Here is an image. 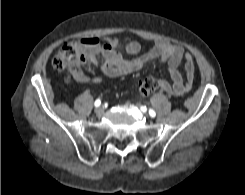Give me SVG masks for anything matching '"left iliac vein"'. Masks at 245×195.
I'll return each mask as SVG.
<instances>
[{
    "mask_svg": "<svg viewBox=\"0 0 245 195\" xmlns=\"http://www.w3.org/2000/svg\"><path fill=\"white\" fill-rule=\"evenodd\" d=\"M138 106V105H137ZM141 111L144 113V114H146V110H144V109H142L141 108ZM147 115V114H146Z\"/></svg>",
    "mask_w": 245,
    "mask_h": 195,
    "instance_id": "4c4485c4",
    "label": "left iliac vein"
}]
</instances>
